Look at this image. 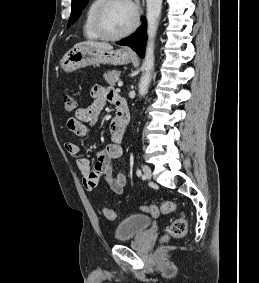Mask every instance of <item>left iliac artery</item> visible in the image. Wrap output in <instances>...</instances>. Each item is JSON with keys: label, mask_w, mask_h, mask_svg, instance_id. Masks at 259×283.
Here are the masks:
<instances>
[{"label": "left iliac artery", "mask_w": 259, "mask_h": 283, "mask_svg": "<svg viewBox=\"0 0 259 283\" xmlns=\"http://www.w3.org/2000/svg\"><path fill=\"white\" fill-rule=\"evenodd\" d=\"M136 174H137V176H141V170L140 169H137V171H136Z\"/></svg>", "instance_id": "obj_1"}]
</instances>
